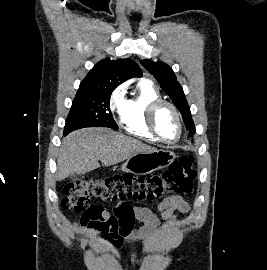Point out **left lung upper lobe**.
<instances>
[{"mask_svg":"<svg viewBox=\"0 0 267 270\" xmlns=\"http://www.w3.org/2000/svg\"><path fill=\"white\" fill-rule=\"evenodd\" d=\"M140 62L156 78L164 92L172 99L182 115L186 129L195 132L190 108L183 89L172 69L163 62H153L151 60H141Z\"/></svg>","mask_w":267,"mask_h":270,"instance_id":"left-lung-upper-lobe-1","label":"left lung upper lobe"}]
</instances>
